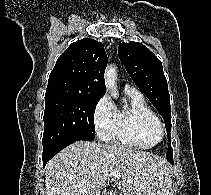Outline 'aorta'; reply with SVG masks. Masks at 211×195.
I'll use <instances>...</instances> for the list:
<instances>
[{
    "instance_id": "obj_1",
    "label": "aorta",
    "mask_w": 211,
    "mask_h": 195,
    "mask_svg": "<svg viewBox=\"0 0 211 195\" xmlns=\"http://www.w3.org/2000/svg\"><path fill=\"white\" fill-rule=\"evenodd\" d=\"M116 80H117L116 67L113 65L107 66L105 71V85L107 89L110 91V94L113 98L118 97Z\"/></svg>"
}]
</instances>
